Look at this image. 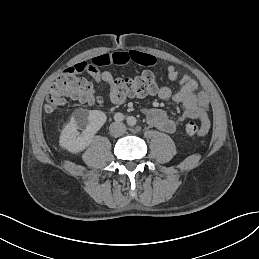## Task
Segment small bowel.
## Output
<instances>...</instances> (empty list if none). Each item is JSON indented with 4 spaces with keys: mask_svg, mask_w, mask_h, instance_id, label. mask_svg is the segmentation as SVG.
Masks as SVG:
<instances>
[{
    "mask_svg": "<svg viewBox=\"0 0 259 259\" xmlns=\"http://www.w3.org/2000/svg\"><path fill=\"white\" fill-rule=\"evenodd\" d=\"M156 62V58L147 53L119 51L95 57L92 63H76L67 68L66 72H87L97 83L105 82L110 84L114 80L112 73L107 70H100L99 66L129 65L131 63L154 66ZM167 74L172 82H177L180 85V89L177 92H173L169 87L162 86L156 91V94L161 100H172L181 104L184 108L183 114L178 119H172L160 108H145L143 113L148 123L163 132L174 133L185 119H198L201 122V132L199 134L204 135L209 129V118L207 115L209 107L208 95L204 91L197 90L198 85L190 76H180L174 66H168ZM125 100H113V103L122 104Z\"/></svg>",
    "mask_w": 259,
    "mask_h": 259,
    "instance_id": "1",
    "label": "small bowel"
}]
</instances>
